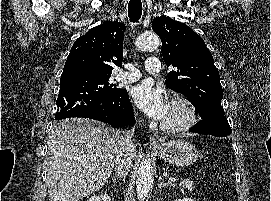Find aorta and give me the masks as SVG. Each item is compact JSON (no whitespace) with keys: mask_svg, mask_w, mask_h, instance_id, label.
<instances>
[{"mask_svg":"<svg viewBox=\"0 0 271 201\" xmlns=\"http://www.w3.org/2000/svg\"><path fill=\"white\" fill-rule=\"evenodd\" d=\"M136 47L141 51L156 49L160 45L159 37L152 32L141 34L136 39ZM153 183V167L149 158L141 161L136 181V192L138 201H144L148 196Z\"/></svg>","mask_w":271,"mask_h":201,"instance_id":"obj_1","label":"aorta"}]
</instances>
